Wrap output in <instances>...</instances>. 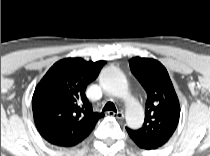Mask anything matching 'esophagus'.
<instances>
[{
  "label": "esophagus",
  "instance_id": "1",
  "mask_svg": "<svg viewBox=\"0 0 210 156\" xmlns=\"http://www.w3.org/2000/svg\"><path fill=\"white\" fill-rule=\"evenodd\" d=\"M117 113H120V114H122V111H121V110H117Z\"/></svg>",
  "mask_w": 210,
  "mask_h": 156
}]
</instances>
